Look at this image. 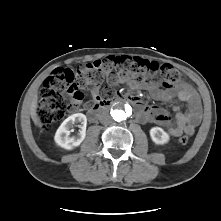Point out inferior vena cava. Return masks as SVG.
<instances>
[{"mask_svg": "<svg viewBox=\"0 0 221 221\" xmlns=\"http://www.w3.org/2000/svg\"><path fill=\"white\" fill-rule=\"evenodd\" d=\"M99 120L102 124H108L111 122V117L107 112H102L99 115Z\"/></svg>", "mask_w": 221, "mask_h": 221, "instance_id": "1", "label": "inferior vena cava"}]
</instances>
